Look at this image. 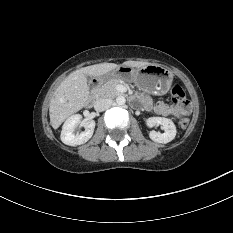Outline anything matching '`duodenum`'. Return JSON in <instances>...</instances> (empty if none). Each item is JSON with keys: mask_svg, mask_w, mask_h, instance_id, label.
I'll return each mask as SVG.
<instances>
[{"mask_svg": "<svg viewBox=\"0 0 233 233\" xmlns=\"http://www.w3.org/2000/svg\"><path fill=\"white\" fill-rule=\"evenodd\" d=\"M101 80L97 79V80H93V82L91 83V87L93 90H95L100 84H101ZM93 97H90L88 101H91Z\"/></svg>", "mask_w": 233, "mask_h": 233, "instance_id": "1", "label": "duodenum"}]
</instances>
